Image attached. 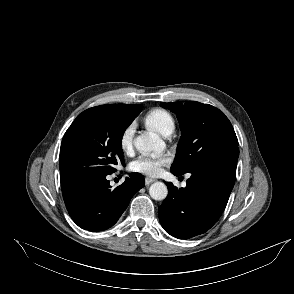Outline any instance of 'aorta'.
<instances>
[{"label":"aorta","mask_w":294,"mask_h":294,"mask_svg":"<svg viewBox=\"0 0 294 294\" xmlns=\"http://www.w3.org/2000/svg\"><path fill=\"white\" fill-rule=\"evenodd\" d=\"M162 140L155 133H142L135 139V147L140 152H152L161 144ZM149 194L154 200H164L168 195L167 186L163 182H155L149 188Z\"/></svg>","instance_id":"762f6f07"}]
</instances>
